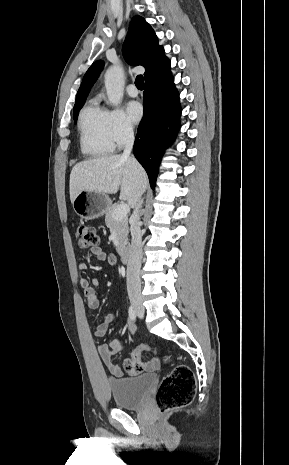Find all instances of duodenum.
Listing matches in <instances>:
<instances>
[{
  "label": "duodenum",
  "instance_id": "obj_1",
  "mask_svg": "<svg viewBox=\"0 0 289 465\" xmlns=\"http://www.w3.org/2000/svg\"><path fill=\"white\" fill-rule=\"evenodd\" d=\"M120 257L124 264L129 263L130 261V249L128 247H124L120 251Z\"/></svg>",
  "mask_w": 289,
  "mask_h": 465
}]
</instances>
